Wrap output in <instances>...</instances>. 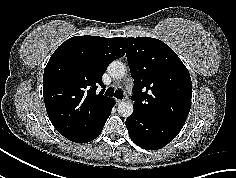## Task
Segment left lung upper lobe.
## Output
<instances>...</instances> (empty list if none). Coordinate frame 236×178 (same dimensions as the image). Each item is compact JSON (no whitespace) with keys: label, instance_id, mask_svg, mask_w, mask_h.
Wrapping results in <instances>:
<instances>
[{"label":"left lung upper lobe","instance_id":"1","mask_svg":"<svg viewBox=\"0 0 236 178\" xmlns=\"http://www.w3.org/2000/svg\"><path fill=\"white\" fill-rule=\"evenodd\" d=\"M123 39L134 79V110L183 126L192 97V82L185 65L161 40Z\"/></svg>","mask_w":236,"mask_h":178}]
</instances>
